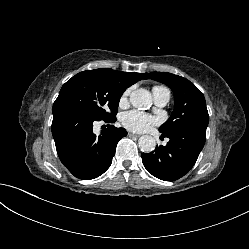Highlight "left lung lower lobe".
I'll use <instances>...</instances> for the list:
<instances>
[{
    "label": "left lung lower lobe",
    "instance_id": "0a47b994",
    "mask_svg": "<svg viewBox=\"0 0 249 249\" xmlns=\"http://www.w3.org/2000/svg\"><path fill=\"white\" fill-rule=\"evenodd\" d=\"M170 140L166 146H156L151 153H142L144 167L153 176L174 181L194 166L206 140V128H183L162 134Z\"/></svg>",
    "mask_w": 249,
    "mask_h": 249
}]
</instances>
